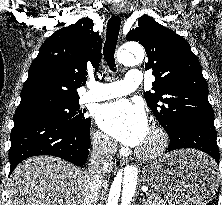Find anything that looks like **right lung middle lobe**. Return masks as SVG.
<instances>
[{
	"label": "right lung middle lobe",
	"mask_w": 222,
	"mask_h": 205,
	"mask_svg": "<svg viewBox=\"0 0 222 205\" xmlns=\"http://www.w3.org/2000/svg\"><path fill=\"white\" fill-rule=\"evenodd\" d=\"M84 110H79V101L74 102H46L33 109L15 114H45L54 117L72 127L88 129L91 119L84 117Z\"/></svg>",
	"instance_id": "obj_1"
}]
</instances>
